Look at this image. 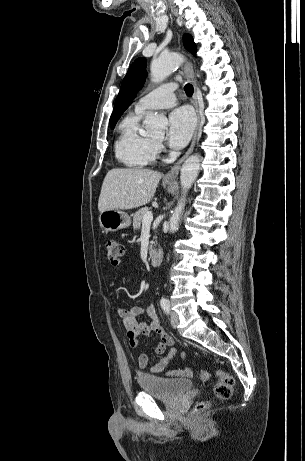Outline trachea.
Returning <instances> with one entry per match:
<instances>
[{
    "instance_id": "3493384b",
    "label": "trachea",
    "mask_w": 305,
    "mask_h": 461,
    "mask_svg": "<svg viewBox=\"0 0 305 461\" xmlns=\"http://www.w3.org/2000/svg\"><path fill=\"white\" fill-rule=\"evenodd\" d=\"M184 91L188 96H192L193 94V86L191 84H186L184 87Z\"/></svg>"
}]
</instances>
